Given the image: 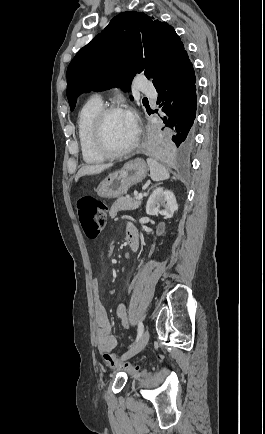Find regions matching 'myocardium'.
<instances>
[{"label": "myocardium", "mask_w": 265, "mask_h": 434, "mask_svg": "<svg viewBox=\"0 0 265 434\" xmlns=\"http://www.w3.org/2000/svg\"><path fill=\"white\" fill-rule=\"evenodd\" d=\"M118 113H122L119 107H104L98 114L95 123V141L98 149L108 159H120L133 153L140 144V134L137 131L134 143L127 149L121 151L113 150L107 142V123L109 119Z\"/></svg>", "instance_id": "obj_1"}]
</instances>
